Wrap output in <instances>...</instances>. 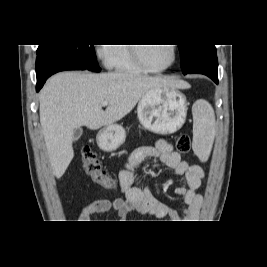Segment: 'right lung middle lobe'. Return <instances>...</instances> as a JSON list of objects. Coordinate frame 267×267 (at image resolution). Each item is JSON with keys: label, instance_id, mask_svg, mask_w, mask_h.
<instances>
[{"label": "right lung middle lobe", "instance_id": "dd1d6c3e", "mask_svg": "<svg viewBox=\"0 0 267 267\" xmlns=\"http://www.w3.org/2000/svg\"><path fill=\"white\" fill-rule=\"evenodd\" d=\"M52 52L78 63L90 71L100 72L93 45L56 44L39 45L37 55Z\"/></svg>", "mask_w": 267, "mask_h": 267}]
</instances>
